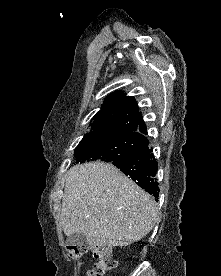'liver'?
<instances>
[{
  "mask_svg": "<svg viewBox=\"0 0 221 276\" xmlns=\"http://www.w3.org/2000/svg\"><path fill=\"white\" fill-rule=\"evenodd\" d=\"M155 200L108 163L72 167L67 173L61 208L65 235H85L94 249L129 245L154 227Z\"/></svg>",
  "mask_w": 221,
  "mask_h": 276,
  "instance_id": "liver-1",
  "label": "liver"
}]
</instances>
